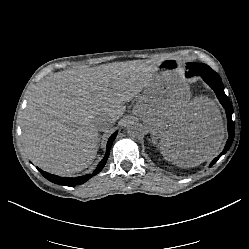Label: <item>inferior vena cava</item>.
<instances>
[{"mask_svg": "<svg viewBox=\"0 0 249 249\" xmlns=\"http://www.w3.org/2000/svg\"><path fill=\"white\" fill-rule=\"evenodd\" d=\"M95 123L98 129L105 130L112 125L113 119L107 114H102L95 120Z\"/></svg>", "mask_w": 249, "mask_h": 249, "instance_id": "1", "label": "inferior vena cava"}]
</instances>
